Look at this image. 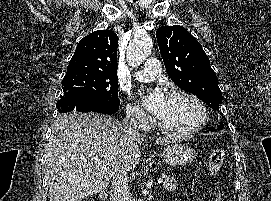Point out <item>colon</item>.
<instances>
[{
	"label": "colon",
	"instance_id": "obj_1",
	"mask_svg": "<svg viewBox=\"0 0 271 201\" xmlns=\"http://www.w3.org/2000/svg\"><path fill=\"white\" fill-rule=\"evenodd\" d=\"M224 155L225 153L222 146H216L211 150L209 154V174L212 178L221 170L224 163Z\"/></svg>",
	"mask_w": 271,
	"mask_h": 201
}]
</instances>
